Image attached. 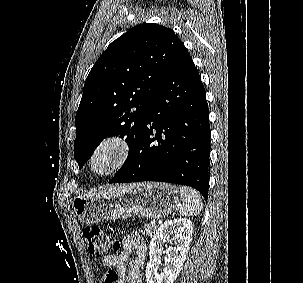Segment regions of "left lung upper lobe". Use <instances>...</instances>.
I'll list each match as a JSON object with an SVG mask.
<instances>
[{
    "label": "left lung upper lobe",
    "instance_id": "obj_1",
    "mask_svg": "<svg viewBox=\"0 0 303 283\" xmlns=\"http://www.w3.org/2000/svg\"><path fill=\"white\" fill-rule=\"evenodd\" d=\"M184 48L172 29L154 23L133 27L107 47L86 79L75 117L80 169L106 137L126 136L129 159L150 101Z\"/></svg>",
    "mask_w": 303,
    "mask_h": 283
}]
</instances>
